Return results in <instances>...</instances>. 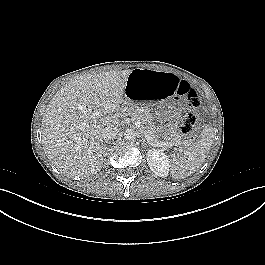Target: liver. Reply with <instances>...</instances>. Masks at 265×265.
Wrapping results in <instances>:
<instances>
[{"mask_svg": "<svg viewBox=\"0 0 265 265\" xmlns=\"http://www.w3.org/2000/svg\"><path fill=\"white\" fill-rule=\"evenodd\" d=\"M131 72L82 75L68 81L49 102L41 126L43 150L67 177L90 176L101 170L104 152L101 131L118 124L117 112L124 102L123 94ZM97 108L101 115L93 119Z\"/></svg>", "mask_w": 265, "mask_h": 265, "instance_id": "liver-1", "label": "liver"}]
</instances>
